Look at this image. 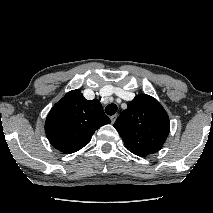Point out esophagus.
Segmentation results:
<instances>
[{
  "label": "esophagus",
  "instance_id": "obj_1",
  "mask_svg": "<svg viewBox=\"0 0 213 213\" xmlns=\"http://www.w3.org/2000/svg\"><path fill=\"white\" fill-rule=\"evenodd\" d=\"M116 118H117V115H116V114L110 116V120H111V123H112V124L115 122Z\"/></svg>",
  "mask_w": 213,
  "mask_h": 213
}]
</instances>
